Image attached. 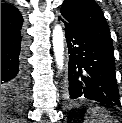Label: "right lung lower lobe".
<instances>
[{"label": "right lung lower lobe", "instance_id": "right-lung-lower-lobe-1", "mask_svg": "<svg viewBox=\"0 0 122 123\" xmlns=\"http://www.w3.org/2000/svg\"><path fill=\"white\" fill-rule=\"evenodd\" d=\"M27 45L22 27L1 26V96L11 94L16 102L26 95L28 67Z\"/></svg>", "mask_w": 122, "mask_h": 123}]
</instances>
